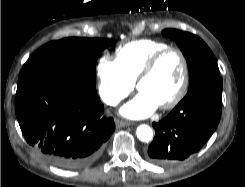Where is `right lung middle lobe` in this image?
Here are the masks:
<instances>
[{"label":"right lung middle lobe","mask_w":245,"mask_h":187,"mask_svg":"<svg viewBox=\"0 0 245 187\" xmlns=\"http://www.w3.org/2000/svg\"><path fill=\"white\" fill-rule=\"evenodd\" d=\"M114 40L64 38L39 48L23 65L18 81L41 75L65 76L96 87L95 66L100 53Z\"/></svg>","instance_id":"1"}]
</instances>
